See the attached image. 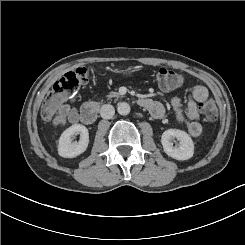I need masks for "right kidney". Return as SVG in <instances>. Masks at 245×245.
<instances>
[{
    "mask_svg": "<svg viewBox=\"0 0 245 245\" xmlns=\"http://www.w3.org/2000/svg\"><path fill=\"white\" fill-rule=\"evenodd\" d=\"M78 134H80V139L79 142H76L72 137ZM88 145V129L82 124H74L61 134L58 143V155L62 158H75L84 153Z\"/></svg>",
    "mask_w": 245,
    "mask_h": 245,
    "instance_id": "obj_1",
    "label": "right kidney"
}]
</instances>
